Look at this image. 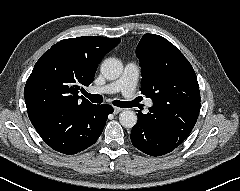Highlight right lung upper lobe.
I'll return each mask as SVG.
<instances>
[{
	"label": "right lung upper lobe",
	"instance_id": "obj_1",
	"mask_svg": "<svg viewBox=\"0 0 240 191\" xmlns=\"http://www.w3.org/2000/svg\"><path fill=\"white\" fill-rule=\"evenodd\" d=\"M120 41L82 36L54 44L37 61L26 82L24 98L29 118L53 108L91 105L78 93L93 82L100 60Z\"/></svg>",
	"mask_w": 240,
	"mask_h": 191
}]
</instances>
